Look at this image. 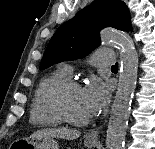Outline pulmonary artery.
<instances>
[{"mask_svg": "<svg viewBox=\"0 0 155 149\" xmlns=\"http://www.w3.org/2000/svg\"><path fill=\"white\" fill-rule=\"evenodd\" d=\"M91 61L93 65L98 67L109 66V65L115 64V54L113 50L108 48L98 49L92 54ZM61 69L68 76L72 74L73 69L69 64H66V63L62 64Z\"/></svg>", "mask_w": 155, "mask_h": 149, "instance_id": "obj_1", "label": "pulmonary artery"}]
</instances>
